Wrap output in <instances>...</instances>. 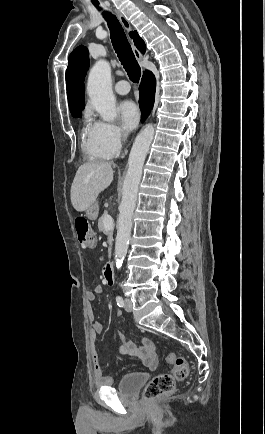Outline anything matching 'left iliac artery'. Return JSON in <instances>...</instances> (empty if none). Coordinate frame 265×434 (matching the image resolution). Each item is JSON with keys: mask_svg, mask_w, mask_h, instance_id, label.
Masks as SVG:
<instances>
[{"mask_svg": "<svg viewBox=\"0 0 265 434\" xmlns=\"http://www.w3.org/2000/svg\"><path fill=\"white\" fill-rule=\"evenodd\" d=\"M116 302H117V305L119 307H123L124 306L123 298L121 296H119V295L116 297Z\"/></svg>", "mask_w": 265, "mask_h": 434, "instance_id": "1", "label": "left iliac artery"}]
</instances>
